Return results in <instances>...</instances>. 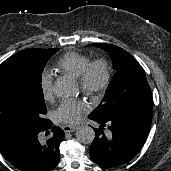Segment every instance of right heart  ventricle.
Returning a JSON list of instances; mask_svg holds the SVG:
<instances>
[{
	"label": "right heart ventricle",
	"instance_id": "obj_1",
	"mask_svg": "<svg viewBox=\"0 0 171 171\" xmlns=\"http://www.w3.org/2000/svg\"><path fill=\"white\" fill-rule=\"evenodd\" d=\"M89 62V57L84 54L68 52L58 60L57 68L64 74L78 79Z\"/></svg>",
	"mask_w": 171,
	"mask_h": 171
}]
</instances>
